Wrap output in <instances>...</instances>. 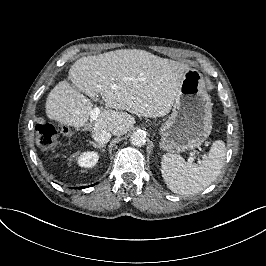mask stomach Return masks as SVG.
Wrapping results in <instances>:
<instances>
[{
	"instance_id": "obj_1",
	"label": "stomach",
	"mask_w": 266,
	"mask_h": 266,
	"mask_svg": "<svg viewBox=\"0 0 266 266\" xmlns=\"http://www.w3.org/2000/svg\"><path fill=\"white\" fill-rule=\"evenodd\" d=\"M212 130V102L202 74L187 69L172 113L160 128V147L170 153L191 150L201 145Z\"/></svg>"
}]
</instances>
